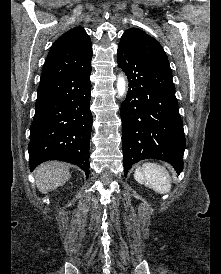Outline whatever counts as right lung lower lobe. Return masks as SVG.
Wrapping results in <instances>:
<instances>
[{
    "mask_svg": "<svg viewBox=\"0 0 221 274\" xmlns=\"http://www.w3.org/2000/svg\"><path fill=\"white\" fill-rule=\"evenodd\" d=\"M91 70L89 66L38 87L28 145L31 171L44 161L60 160L89 175Z\"/></svg>",
    "mask_w": 221,
    "mask_h": 274,
    "instance_id": "right-lung-lower-lobe-1",
    "label": "right lung lower lobe"
}]
</instances>
